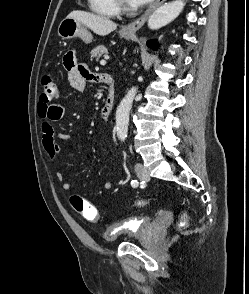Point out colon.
Returning a JSON list of instances; mask_svg holds the SVG:
<instances>
[{
    "label": "colon",
    "instance_id": "5ec220e1",
    "mask_svg": "<svg viewBox=\"0 0 249 294\" xmlns=\"http://www.w3.org/2000/svg\"><path fill=\"white\" fill-rule=\"evenodd\" d=\"M42 92L40 99L42 102H50L59 96V88L51 76H44L42 78ZM71 204L75 212L82 216L84 219L90 222H97L99 220L98 210L87 200L80 196H72ZM138 205H147L148 202L145 200L139 201Z\"/></svg>",
    "mask_w": 249,
    "mask_h": 294
}]
</instances>
